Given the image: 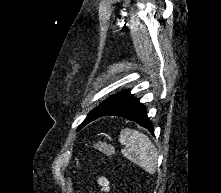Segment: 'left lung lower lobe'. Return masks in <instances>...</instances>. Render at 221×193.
<instances>
[{"label": "left lung lower lobe", "instance_id": "0a47b994", "mask_svg": "<svg viewBox=\"0 0 221 193\" xmlns=\"http://www.w3.org/2000/svg\"><path fill=\"white\" fill-rule=\"evenodd\" d=\"M107 115L134 121L153 134V125L147 117L145 106L130 94V90L123 91L99 117Z\"/></svg>", "mask_w": 221, "mask_h": 193}]
</instances>
